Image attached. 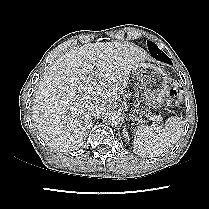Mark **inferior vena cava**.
Wrapping results in <instances>:
<instances>
[{
  "label": "inferior vena cava",
  "mask_w": 209,
  "mask_h": 209,
  "mask_svg": "<svg viewBox=\"0 0 209 209\" xmlns=\"http://www.w3.org/2000/svg\"><path fill=\"white\" fill-rule=\"evenodd\" d=\"M100 113H101V110H100L99 107H95V108H93V109L91 110V115H92V116L100 115Z\"/></svg>",
  "instance_id": "1"
}]
</instances>
